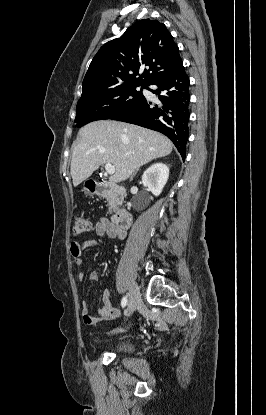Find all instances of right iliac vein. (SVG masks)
Masks as SVG:
<instances>
[{"instance_id":"63e3f726","label":"right iliac vein","mask_w":266,"mask_h":415,"mask_svg":"<svg viewBox=\"0 0 266 415\" xmlns=\"http://www.w3.org/2000/svg\"><path fill=\"white\" fill-rule=\"evenodd\" d=\"M139 303H140V291L135 284H132L129 290V302H128V307L125 312L126 317H129L135 311Z\"/></svg>"}]
</instances>
